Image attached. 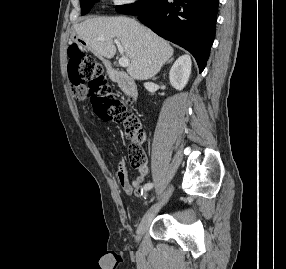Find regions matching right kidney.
<instances>
[{"label": "right kidney", "instance_id": "ca27d5eb", "mask_svg": "<svg viewBox=\"0 0 286 269\" xmlns=\"http://www.w3.org/2000/svg\"><path fill=\"white\" fill-rule=\"evenodd\" d=\"M191 66L192 62L190 56L182 55L171 67L169 72V79L171 85L176 90H182L186 86L191 74Z\"/></svg>", "mask_w": 286, "mask_h": 269}]
</instances>
